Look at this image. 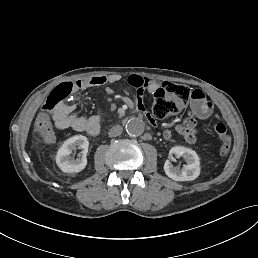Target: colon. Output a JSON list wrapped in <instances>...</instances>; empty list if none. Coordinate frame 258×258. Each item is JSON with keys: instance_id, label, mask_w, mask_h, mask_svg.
Listing matches in <instances>:
<instances>
[{"instance_id": "colon-1", "label": "colon", "mask_w": 258, "mask_h": 258, "mask_svg": "<svg viewBox=\"0 0 258 258\" xmlns=\"http://www.w3.org/2000/svg\"><path fill=\"white\" fill-rule=\"evenodd\" d=\"M76 91L74 82H63L57 85L48 95L43 106V115L54 113L56 109L68 103L71 95ZM191 90L179 83L167 82L154 92L152 114L157 119H163L178 113L191 97ZM214 130L218 135L221 146L220 153L228 154L231 148V137L223 123H217Z\"/></svg>"}]
</instances>
